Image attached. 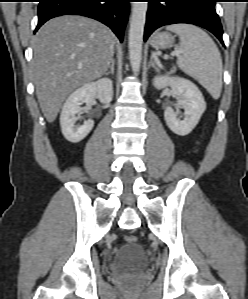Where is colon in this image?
I'll list each match as a JSON object with an SVG mask.
<instances>
[{
    "label": "colon",
    "instance_id": "obj_1",
    "mask_svg": "<svg viewBox=\"0 0 248 299\" xmlns=\"http://www.w3.org/2000/svg\"><path fill=\"white\" fill-rule=\"evenodd\" d=\"M124 240L125 242H127L128 244H134L137 242V237L133 234H129V235H126L124 237Z\"/></svg>",
    "mask_w": 248,
    "mask_h": 299
}]
</instances>
